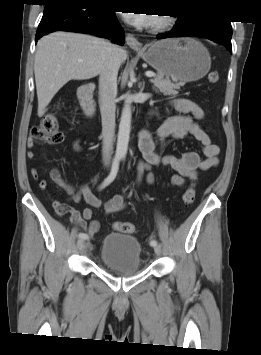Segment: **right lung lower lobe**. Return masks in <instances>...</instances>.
<instances>
[{"label":"right lung lower lobe","instance_id":"98d812e1","mask_svg":"<svg viewBox=\"0 0 261 355\" xmlns=\"http://www.w3.org/2000/svg\"><path fill=\"white\" fill-rule=\"evenodd\" d=\"M43 17L35 42L47 33L70 31L88 33L124 44V32L113 10L86 0H52L45 2Z\"/></svg>","mask_w":261,"mask_h":355}]
</instances>
